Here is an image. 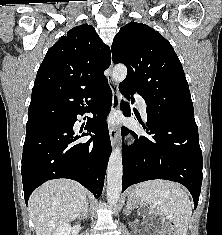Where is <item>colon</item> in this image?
I'll use <instances>...</instances> for the list:
<instances>
[{
    "label": "colon",
    "mask_w": 222,
    "mask_h": 235,
    "mask_svg": "<svg viewBox=\"0 0 222 235\" xmlns=\"http://www.w3.org/2000/svg\"><path fill=\"white\" fill-rule=\"evenodd\" d=\"M162 235H177L174 225L172 223H168L164 228Z\"/></svg>",
    "instance_id": "obj_1"
}]
</instances>
